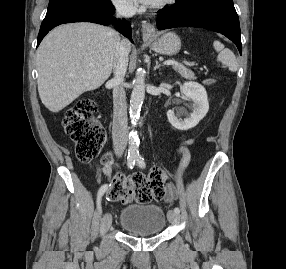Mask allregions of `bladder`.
I'll use <instances>...</instances> for the list:
<instances>
[{"label":"bladder","mask_w":286,"mask_h":269,"mask_svg":"<svg viewBox=\"0 0 286 269\" xmlns=\"http://www.w3.org/2000/svg\"><path fill=\"white\" fill-rule=\"evenodd\" d=\"M119 225L134 234H159L166 227V214L157 205L133 203L121 210Z\"/></svg>","instance_id":"31cf9c89"}]
</instances>
